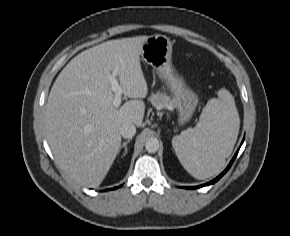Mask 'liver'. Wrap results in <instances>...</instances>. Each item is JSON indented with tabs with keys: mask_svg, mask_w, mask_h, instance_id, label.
Masks as SVG:
<instances>
[{
	"mask_svg": "<svg viewBox=\"0 0 290 236\" xmlns=\"http://www.w3.org/2000/svg\"><path fill=\"white\" fill-rule=\"evenodd\" d=\"M149 36L106 41L75 56L56 78L45 109L48 144L63 173L98 187L121 146L120 128L140 127L148 87L140 63ZM117 71L122 93L132 100L113 105L109 76Z\"/></svg>",
	"mask_w": 290,
	"mask_h": 236,
	"instance_id": "obj_1",
	"label": "liver"
}]
</instances>
